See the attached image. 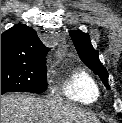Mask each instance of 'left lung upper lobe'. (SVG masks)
I'll return each instance as SVG.
<instances>
[{"instance_id":"obj_1","label":"left lung upper lobe","mask_w":122,"mask_h":123,"mask_svg":"<svg viewBox=\"0 0 122 123\" xmlns=\"http://www.w3.org/2000/svg\"><path fill=\"white\" fill-rule=\"evenodd\" d=\"M69 35L75 45L80 59L86 66L93 70L96 75L100 76V79L108 88L109 84L107 70L99 61L98 52L92 47L89 35L81 32L80 30H72Z\"/></svg>"}]
</instances>
